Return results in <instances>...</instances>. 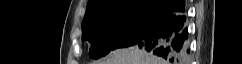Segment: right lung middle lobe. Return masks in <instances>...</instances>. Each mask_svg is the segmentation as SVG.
Returning <instances> with one entry per match:
<instances>
[{
    "instance_id": "obj_1",
    "label": "right lung middle lobe",
    "mask_w": 242,
    "mask_h": 64,
    "mask_svg": "<svg viewBox=\"0 0 242 64\" xmlns=\"http://www.w3.org/2000/svg\"><path fill=\"white\" fill-rule=\"evenodd\" d=\"M161 17L160 12L148 9L107 14L82 24V40L92 44L89 56L97 59L114 49L135 45Z\"/></svg>"
}]
</instances>
